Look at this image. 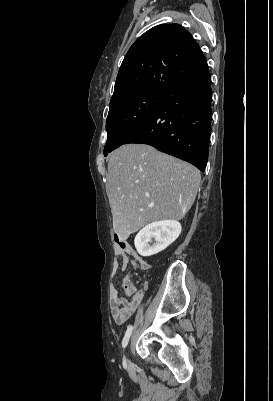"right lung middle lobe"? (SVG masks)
Segmentation results:
<instances>
[{"instance_id": "right-lung-middle-lobe-1", "label": "right lung middle lobe", "mask_w": 273, "mask_h": 401, "mask_svg": "<svg viewBox=\"0 0 273 401\" xmlns=\"http://www.w3.org/2000/svg\"><path fill=\"white\" fill-rule=\"evenodd\" d=\"M164 92L142 91L110 102L104 155L118 148L163 101Z\"/></svg>"}]
</instances>
